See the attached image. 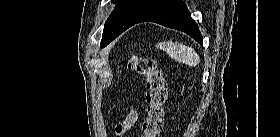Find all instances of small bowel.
<instances>
[{
	"label": "small bowel",
	"instance_id": "small-bowel-1",
	"mask_svg": "<svg viewBox=\"0 0 280 137\" xmlns=\"http://www.w3.org/2000/svg\"><path fill=\"white\" fill-rule=\"evenodd\" d=\"M138 119V112L136 110H130L122 123L127 124L129 127H132Z\"/></svg>",
	"mask_w": 280,
	"mask_h": 137
}]
</instances>
